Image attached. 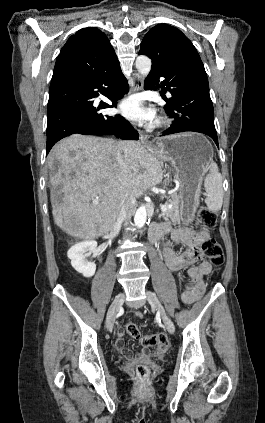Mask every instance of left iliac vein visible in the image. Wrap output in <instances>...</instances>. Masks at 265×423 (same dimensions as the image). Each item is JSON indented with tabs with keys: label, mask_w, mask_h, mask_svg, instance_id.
<instances>
[{
	"label": "left iliac vein",
	"mask_w": 265,
	"mask_h": 423,
	"mask_svg": "<svg viewBox=\"0 0 265 423\" xmlns=\"http://www.w3.org/2000/svg\"><path fill=\"white\" fill-rule=\"evenodd\" d=\"M147 295V300L149 302V304L151 305L152 308H154L155 310H157L166 326L167 331L170 334H173L175 332V327L174 324L172 323V321L170 320V318L168 317V315L166 314L162 304L160 303L158 297L156 296L155 293L151 292V291H147L146 292Z\"/></svg>",
	"instance_id": "1"
}]
</instances>
